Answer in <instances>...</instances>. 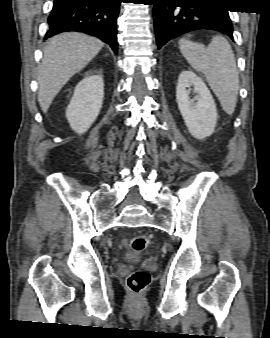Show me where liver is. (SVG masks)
Masks as SVG:
<instances>
[{"instance_id": "liver-1", "label": "liver", "mask_w": 270, "mask_h": 338, "mask_svg": "<svg viewBox=\"0 0 270 338\" xmlns=\"http://www.w3.org/2000/svg\"><path fill=\"white\" fill-rule=\"evenodd\" d=\"M103 42L76 32L49 39L38 69V102L46 112L69 79L82 70L102 49Z\"/></svg>"}]
</instances>
